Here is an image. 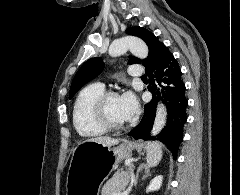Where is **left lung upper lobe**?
<instances>
[{"label":"left lung upper lobe","mask_w":240,"mask_h":195,"mask_svg":"<svg viewBox=\"0 0 240 195\" xmlns=\"http://www.w3.org/2000/svg\"><path fill=\"white\" fill-rule=\"evenodd\" d=\"M126 33L141 38L147 44L149 55L146 59L141 61L136 57L130 56L128 61L129 64L142 62L145 66L147 75L171 54L168 48L161 43L153 33L143 27H130L127 29ZM103 68L104 62L101 57L87 60L78 70L72 81L70 87V99L83 85L97 77L102 72Z\"/></svg>","instance_id":"1"}]
</instances>
